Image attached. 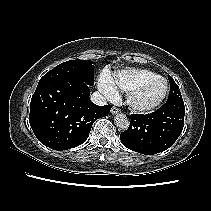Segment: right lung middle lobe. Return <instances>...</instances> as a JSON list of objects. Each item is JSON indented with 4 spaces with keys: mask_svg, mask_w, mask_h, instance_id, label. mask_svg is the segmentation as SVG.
Here are the masks:
<instances>
[{
    "mask_svg": "<svg viewBox=\"0 0 211 211\" xmlns=\"http://www.w3.org/2000/svg\"><path fill=\"white\" fill-rule=\"evenodd\" d=\"M94 62L89 60H69L56 66L46 73L38 85L54 80L79 77L89 85H94Z\"/></svg>",
    "mask_w": 211,
    "mask_h": 211,
    "instance_id": "dd1d6c3e",
    "label": "right lung middle lobe"
}]
</instances>
